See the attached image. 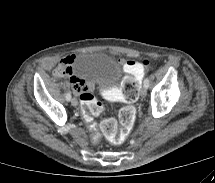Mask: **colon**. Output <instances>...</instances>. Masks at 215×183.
<instances>
[{"instance_id":"5ec220e1","label":"colon","mask_w":215,"mask_h":183,"mask_svg":"<svg viewBox=\"0 0 215 183\" xmlns=\"http://www.w3.org/2000/svg\"><path fill=\"white\" fill-rule=\"evenodd\" d=\"M142 64L147 67L149 61L145 60ZM68 68L64 66H59L57 68V74L63 76L68 74ZM139 90V80L136 77L126 78L121 87V94L123 100L128 103L122 107L119 111V123L116 119L112 117L104 118L99 125L100 131L102 134L113 143H121L125 138V132L129 130L136 119L135 108L130 105L138 98ZM80 101L84 110H87L91 115H99L103 111V105L93 98L90 93H83L80 96ZM85 119L87 122H90V116L85 114ZM119 125L122 127V130L119 129Z\"/></svg>"}]
</instances>
